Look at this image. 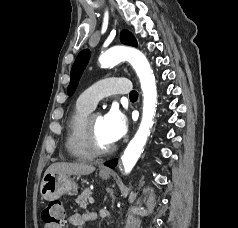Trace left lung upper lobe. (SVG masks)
Returning a JSON list of instances; mask_svg holds the SVG:
<instances>
[{
	"instance_id": "obj_1",
	"label": "left lung upper lobe",
	"mask_w": 238,
	"mask_h": 228,
	"mask_svg": "<svg viewBox=\"0 0 238 228\" xmlns=\"http://www.w3.org/2000/svg\"><path fill=\"white\" fill-rule=\"evenodd\" d=\"M120 40L123 44L130 45V46H137V41L134 36L127 30H123L121 32ZM90 58V51L88 49L81 51L71 69V80L68 86L67 94L73 95L74 91L77 88L79 79L89 61Z\"/></svg>"
}]
</instances>
